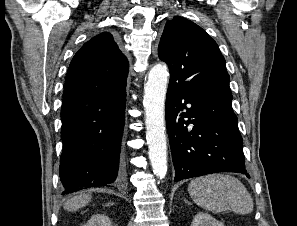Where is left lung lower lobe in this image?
Wrapping results in <instances>:
<instances>
[{
  "label": "left lung lower lobe",
  "instance_id": "0a47b994",
  "mask_svg": "<svg viewBox=\"0 0 297 226\" xmlns=\"http://www.w3.org/2000/svg\"><path fill=\"white\" fill-rule=\"evenodd\" d=\"M231 101V94L190 89L170 78L165 115L174 181L218 172L250 177Z\"/></svg>",
  "mask_w": 297,
  "mask_h": 226
}]
</instances>
